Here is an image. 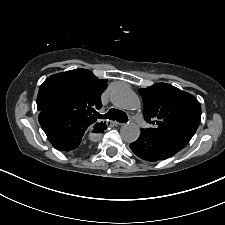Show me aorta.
<instances>
[{"instance_id":"obj_1","label":"aorta","mask_w":225,"mask_h":225,"mask_svg":"<svg viewBox=\"0 0 225 225\" xmlns=\"http://www.w3.org/2000/svg\"><path fill=\"white\" fill-rule=\"evenodd\" d=\"M111 102L114 106L124 110H137L141 107L139 97L129 88L115 87L111 92ZM120 134L127 143L136 141L140 135V128L134 122H128L121 127Z\"/></svg>"}]
</instances>
